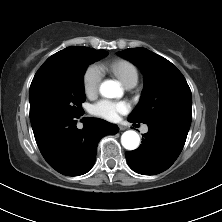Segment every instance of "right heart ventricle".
I'll return each instance as SVG.
<instances>
[{
    "label": "right heart ventricle",
    "instance_id": "e07e8e85",
    "mask_svg": "<svg viewBox=\"0 0 222 222\" xmlns=\"http://www.w3.org/2000/svg\"><path fill=\"white\" fill-rule=\"evenodd\" d=\"M101 68L118 77L125 87H134L139 80L137 67L130 61L117 59L102 64Z\"/></svg>",
    "mask_w": 222,
    "mask_h": 222
}]
</instances>
